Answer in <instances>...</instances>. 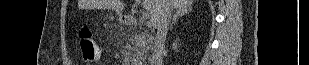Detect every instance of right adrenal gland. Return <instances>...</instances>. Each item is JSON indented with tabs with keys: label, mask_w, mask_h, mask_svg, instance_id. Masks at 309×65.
<instances>
[{
	"label": "right adrenal gland",
	"mask_w": 309,
	"mask_h": 65,
	"mask_svg": "<svg viewBox=\"0 0 309 65\" xmlns=\"http://www.w3.org/2000/svg\"><path fill=\"white\" fill-rule=\"evenodd\" d=\"M191 10H192V8L190 6L184 7V8H181V9H177L176 12L174 13L173 19L170 23V30L173 29V24L176 23V20H177L178 17L183 16L185 14H188Z\"/></svg>",
	"instance_id": "2a0ac1e0"
}]
</instances>
